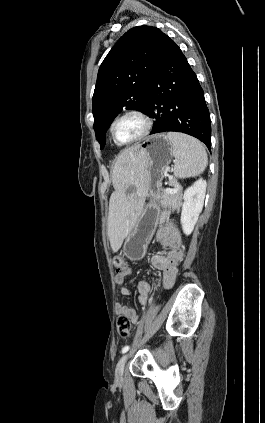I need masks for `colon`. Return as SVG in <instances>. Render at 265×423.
Returning a JSON list of instances; mask_svg holds the SVG:
<instances>
[{
  "label": "colon",
  "mask_w": 265,
  "mask_h": 423,
  "mask_svg": "<svg viewBox=\"0 0 265 423\" xmlns=\"http://www.w3.org/2000/svg\"><path fill=\"white\" fill-rule=\"evenodd\" d=\"M113 265L117 270H120L124 266V258L122 256H116L113 259ZM116 327L118 335L121 337H128L131 334V323L128 317L120 315L116 321Z\"/></svg>",
  "instance_id": "obj_1"
}]
</instances>
